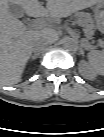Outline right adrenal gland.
I'll list each match as a JSON object with an SVG mask.
<instances>
[{
	"label": "right adrenal gland",
	"instance_id": "right-adrenal-gland-1",
	"mask_svg": "<svg viewBox=\"0 0 104 137\" xmlns=\"http://www.w3.org/2000/svg\"><path fill=\"white\" fill-rule=\"evenodd\" d=\"M39 54H34L33 56H31L32 60H35L36 58H38Z\"/></svg>",
	"mask_w": 104,
	"mask_h": 137
}]
</instances>
